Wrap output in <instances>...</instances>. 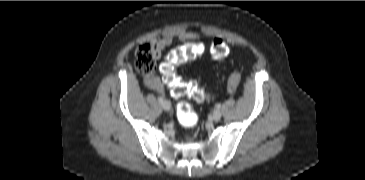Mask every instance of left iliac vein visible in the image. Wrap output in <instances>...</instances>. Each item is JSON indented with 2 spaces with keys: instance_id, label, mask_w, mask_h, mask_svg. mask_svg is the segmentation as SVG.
<instances>
[{
  "instance_id": "obj_1",
  "label": "left iliac vein",
  "mask_w": 365,
  "mask_h": 180,
  "mask_svg": "<svg viewBox=\"0 0 365 180\" xmlns=\"http://www.w3.org/2000/svg\"><path fill=\"white\" fill-rule=\"evenodd\" d=\"M221 116H222V114H221V112H220L219 110H215V111L212 113V118H213V120H215V121L220 120V119H221Z\"/></svg>"
}]
</instances>
